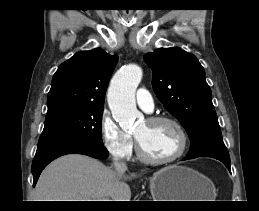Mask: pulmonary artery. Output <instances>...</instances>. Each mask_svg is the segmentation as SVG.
Returning <instances> with one entry per match:
<instances>
[{
	"label": "pulmonary artery",
	"mask_w": 259,
	"mask_h": 211,
	"mask_svg": "<svg viewBox=\"0 0 259 211\" xmlns=\"http://www.w3.org/2000/svg\"><path fill=\"white\" fill-rule=\"evenodd\" d=\"M137 104L146 112H151L154 108L152 95L144 88L138 89L136 93Z\"/></svg>",
	"instance_id": "pulmonary-artery-1"
}]
</instances>
